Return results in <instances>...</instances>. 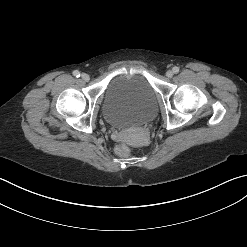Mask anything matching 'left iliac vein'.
I'll return each instance as SVG.
<instances>
[{
  "label": "left iliac vein",
  "mask_w": 247,
  "mask_h": 247,
  "mask_svg": "<svg viewBox=\"0 0 247 247\" xmlns=\"http://www.w3.org/2000/svg\"><path fill=\"white\" fill-rule=\"evenodd\" d=\"M166 76H167L168 78H171V77L173 76V71L168 70V71L166 72Z\"/></svg>",
  "instance_id": "1"
}]
</instances>
